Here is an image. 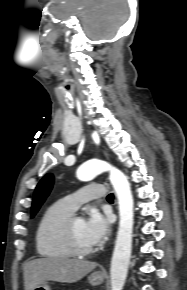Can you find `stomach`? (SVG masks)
<instances>
[{
	"label": "stomach",
	"instance_id": "1",
	"mask_svg": "<svg viewBox=\"0 0 187 290\" xmlns=\"http://www.w3.org/2000/svg\"><path fill=\"white\" fill-rule=\"evenodd\" d=\"M88 281L90 284H92L94 286L100 285L104 281V276L98 272H94L88 277ZM33 290H50V288H49L48 284L46 282H44V283L36 286Z\"/></svg>",
	"mask_w": 187,
	"mask_h": 290
}]
</instances>
